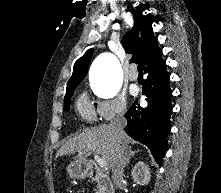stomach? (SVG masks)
<instances>
[{
    "instance_id": "1",
    "label": "stomach",
    "mask_w": 221,
    "mask_h": 193,
    "mask_svg": "<svg viewBox=\"0 0 221 193\" xmlns=\"http://www.w3.org/2000/svg\"><path fill=\"white\" fill-rule=\"evenodd\" d=\"M67 172L71 178L83 179L88 174V169L85 162L75 161L69 164Z\"/></svg>"
}]
</instances>
